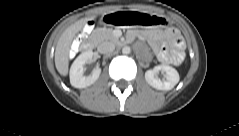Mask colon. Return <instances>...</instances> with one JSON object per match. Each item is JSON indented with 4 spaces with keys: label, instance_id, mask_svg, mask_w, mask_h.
<instances>
[{
    "label": "colon",
    "instance_id": "colon-1",
    "mask_svg": "<svg viewBox=\"0 0 239 136\" xmlns=\"http://www.w3.org/2000/svg\"><path fill=\"white\" fill-rule=\"evenodd\" d=\"M86 26H90L91 28H90V30H89V31H86V30H85V28H84V31H85V32H90V31L92 30V28H93V26H92V24H91V23H89V24H88V25H86ZM86 26H85V27H86Z\"/></svg>",
    "mask_w": 239,
    "mask_h": 136
}]
</instances>
